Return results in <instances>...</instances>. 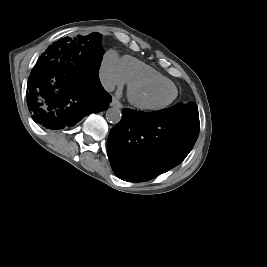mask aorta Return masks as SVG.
Wrapping results in <instances>:
<instances>
[{
	"mask_svg": "<svg viewBox=\"0 0 267 267\" xmlns=\"http://www.w3.org/2000/svg\"><path fill=\"white\" fill-rule=\"evenodd\" d=\"M122 113L118 107H111L106 111V119L111 123H118L121 120Z\"/></svg>",
	"mask_w": 267,
	"mask_h": 267,
	"instance_id": "aorta-1",
	"label": "aorta"
}]
</instances>
